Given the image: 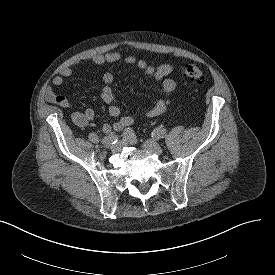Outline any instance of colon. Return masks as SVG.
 <instances>
[{
	"label": "colon",
	"instance_id": "obj_1",
	"mask_svg": "<svg viewBox=\"0 0 275 275\" xmlns=\"http://www.w3.org/2000/svg\"><path fill=\"white\" fill-rule=\"evenodd\" d=\"M180 73L197 85L203 84L207 79L205 72L195 64L183 65L180 68Z\"/></svg>",
	"mask_w": 275,
	"mask_h": 275
}]
</instances>
